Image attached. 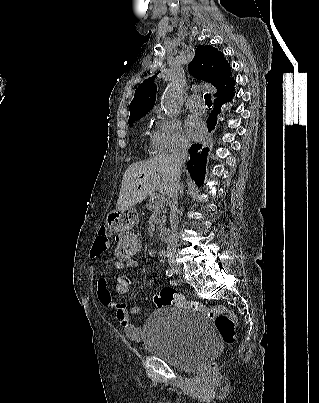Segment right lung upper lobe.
Here are the masks:
<instances>
[{
    "label": "right lung upper lobe",
    "instance_id": "1",
    "mask_svg": "<svg viewBox=\"0 0 319 403\" xmlns=\"http://www.w3.org/2000/svg\"><path fill=\"white\" fill-rule=\"evenodd\" d=\"M188 68L194 78L211 83L217 89L214 95L216 99L234 91L235 81L232 78L230 64L216 48L199 45ZM156 76L157 74L144 80L136 89L130 103L129 120L142 117L153 108L157 91L153 81Z\"/></svg>",
    "mask_w": 319,
    "mask_h": 403
}]
</instances>
